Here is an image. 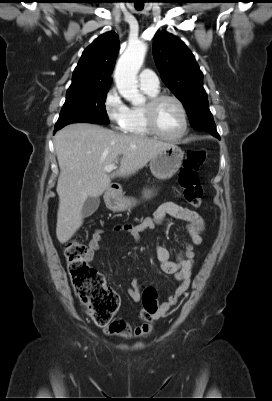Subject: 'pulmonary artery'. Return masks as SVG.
<instances>
[{"label": "pulmonary artery", "instance_id": "obj_1", "mask_svg": "<svg viewBox=\"0 0 272 401\" xmlns=\"http://www.w3.org/2000/svg\"><path fill=\"white\" fill-rule=\"evenodd\" d=\"M139 84L142 89L158 90L160 82L154 71L144 69L139 75Z\"/></svg>", "mask_w": 272, "mask_h": 401}]
</instances>
